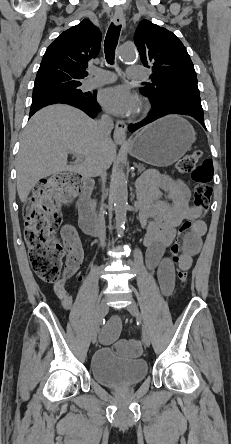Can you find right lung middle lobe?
<instances>
[{"instance_id":"obj_1","label":"right lung middle lobe","mask_w":231,"mask_h":444,"mask_svg":"<svg viewBox=\"0 0 231 444\" xmlns=\"http://www.w3.org/2000/svg\"><path fill=\"white\" fill-rule=\"evenodd\" d=\"M81 83L78 84H54L52 86L34 89L33 90V99L43 97V96H62L68 97L75 100H87L91 98L93 95L89 93H83L79 87Z\"/></svg>"}]
</instances>
